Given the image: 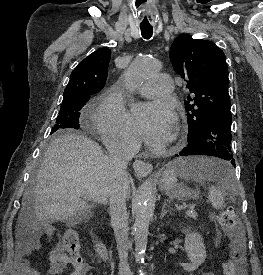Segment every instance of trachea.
Returning a JSON list of instances; mask_svg holds the SVG:
<instances>
[{"mask_svg":"<svg viewBox=\"0 0 263 275\" xmlns=\"http://www.w3.org/2000/svg\"><path fill=\"white\" fill-rule=\"evenodd\" d=\"M141 29V34L142 37L145 39H150L152 37L153 34V27L149 26V27H140Z\"/></svg>","mask_w":263,"mask_h":275,"instance_id":"3493384b","label":"trachea"}]
</instances>
